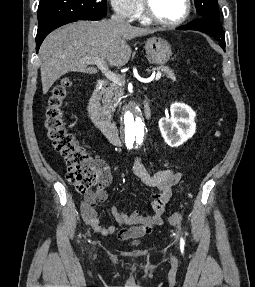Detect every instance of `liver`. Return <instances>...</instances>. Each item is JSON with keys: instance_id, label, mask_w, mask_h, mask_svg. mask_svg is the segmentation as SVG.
I'll use <instances>...</instances> for the list:
<instances>
[{"instance_id": "1", "label": "liver", "mask_w": 255, "mask_h": 287, "mask_svg": "<svg viewBox=\"0 0 255 287\" xmlns=\"http://www.w3.org/2000/svg\"><path fill=\"white\" fill-rule=\"evenodd\" d=\"M154 32L157 30L135 28L128 22L114 24L110 20L75 22L58 28L45 38L39 50L43 94L68 72L97 74L98 70L88 68L84 58H104L109 66H125L131 56L126 40Z\"/></svg>"}]
</instances>
